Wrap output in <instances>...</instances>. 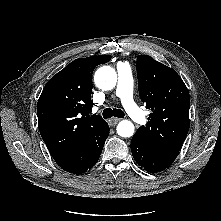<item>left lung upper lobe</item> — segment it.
Wrapping results in <instances>:
<instances>
[{"label": "left lung upper lobe", "mask_w": 221, "mask_h": 221, "mask_svg": "<svg viewBox=\"0 0 221 221\" xmlns=\"http://www.w3.org/2000/svg\"><path fill=\"white\" fill-rule=\"evenodd\" d=\"M140 98L153 113L135 133L156 150L177 155L189 130L190 97L175 70L147 55L137 57Z\"/></svg>", "instance_id": "left-lung-upper-lobe-1"}]
</instances>
